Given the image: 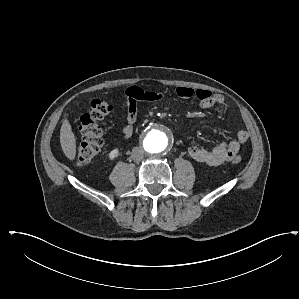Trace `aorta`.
<instances>
[{
    "instance_id": "obj_1",
    "label": "aorta",
    "mask_w": 299,
    "mask_h": 299,
    "mask_svg": "<svg viewBox=\"0 0 299 299\" xmlns=\"http://www.w3.org/2000/svg\"><path fill=\"white\" fill-rule=\"evenodd\" d=\"M168 146V136L164 131L158 128L151 129L143 140L145 151L152 156L162 154L167 150Z\"/></svg>"
}]
</instances>
